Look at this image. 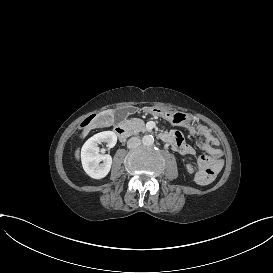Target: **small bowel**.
<instances>
[{"label":"small bowel","mask_w":273,"mask_h":273,"mask_svg":"<svg viewBox=\"0 0 273 273\" xmlns=\"http://www.w3.org/2000/svg\"><path fill=\"white\" fill-rule=\"evenodd\" d=\"M193 131H195L200 139L199 146L206 153L217 152L221 154L220 150L215 148V145L218 143L216 137L212 134L211 130L204 125H197ZM169 136V143L174 145V148L179 152L185 154H195V150L188 144L182 143L183 133L180 130H173L170 133H163ZM222 155V154H221ZM205 155H202L198 159V165L200 169V161ZM187 171L192 174L195 171V168L192 164L187 165ZM198 173V172H197Z\"/></svg>","instance_id":"c3829d8e"}]
</instances>
